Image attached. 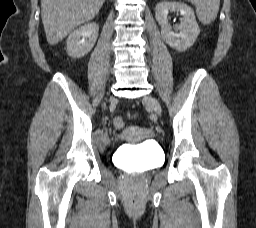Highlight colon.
I'll use <instances>...</instances> for the list:
<instances>
[{
  "label": "colon",
  "mask_w": 256,
  "mask_h": 228,
  "mask_svg": "<svg viewBox=\"0 0 256 228\" xmlns=\"http://www.w3.org/2000/svg\"><path fill=\"white\" fill-rule=\"evenodd\" d=\"M113 126L115 129L121 130L124 128V121L121 117H115L113 119Z\"/></svg>",
  "instance_id": "1"
}]
</instances>
